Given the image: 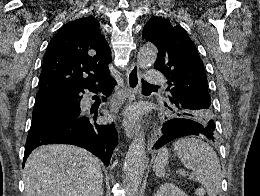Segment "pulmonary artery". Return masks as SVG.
<instances>
[{"label": "pulmonary artery", "mask_w": 260, "mask_h": 196, "mask_svg": "<svg viewBox=\"0 0 260 196\" xmlns=\"http://www.w3.org/2000/svg\"><path fill=\"white\" fill-rule=\"evenodd\" d=\"M164 80L163 72H156L155 69H150L145 79V84H163Z\"/></svg>", "instance_id": "e3ab8cb5"}]
</instances>
